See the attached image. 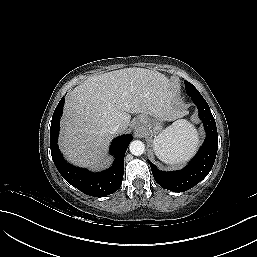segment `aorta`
Instances as JSON below:
<instances>
[{
  "label": "aorta",
  "instance_id": "1",
  "mask_svg": "<svg viewBox=\"0 0 257 257\" xmlns=\"http://www.w3.org/2000/svg\"><path fill=\"white\" fill-rule=\"evenodd\" d=\"M129 150H130L131 154H133L135 156H140L145 151V145L140 140H134L130 143Z\"/></svg>",
  "mask_w": 257,
  "mask_h": 257
}]
</instances>
